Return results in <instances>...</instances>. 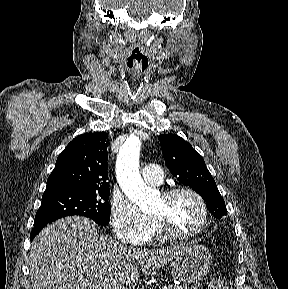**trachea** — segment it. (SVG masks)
<instances>
[{"mask_svg":"<svg viewBox=\"0 0 288 289\" xmlns=\"http://www.w3.org/2000/svg\"><path fill=\"white\" fill-rule=\"evenodd\" d=\"M148 63L147 56L137 48L127 58L128 68L136 73L143 72L147 68Z\"/></svg>","mask_w":288,"mask_h":289,"instance_id":"1","label":"trachea"}]
</instances>
